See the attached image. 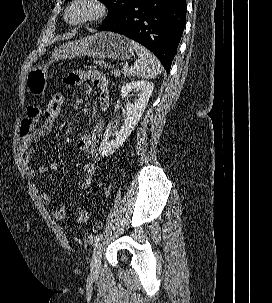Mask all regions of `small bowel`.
<instances>
[{"label": "small bowel", "mask_w": 272, "mask_h": 303, "mask_svg": "<svg viewBox=\"0 0 272 303\" xmlns=\"http://www.w3.org/2000/svg\"><path fill=\"white\" fill-rule=\"evenodd\" d=\"M65 83L69 86H76L84 81L92 82L99 90V103L102 110H106L109 105V85L107 78L103 73L94 69H86L73 71L66 75ZM40 108L37 104H31L26 110L25 117L20 126V156L25 169V172L30 179L33 188L38 192L40 189L39 179L45 176L48 170L59 171L58 164L53 161L49 166H40L34 169L31 162L34 155L35 143L50 134L42 130L39 126ZM103 122L98 121L94 124L91 131L78 140V149L89 157V161L82 166L84 178L80 184L82 190H88L94 183L96 175V163L100 160V155L97 151V143L103 132ZM40 200L43 204L48 205L52 201L50 194L40 193ZM66 207L64 205L54 208L52 215L56 219L65 217Z\"/></svg>", "instance_id": "small-bowel-1"}]
</instances>
